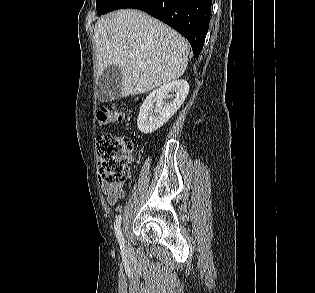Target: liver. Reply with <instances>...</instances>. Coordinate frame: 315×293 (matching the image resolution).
<instances>
[{
	"instance_id": "6515ba94",
	"label": "liver",
	"mask_w": 315,
	"mask_h": 293,
	"mask_svg": "<svg viewBox=\"0 0 315 293\" xmlns=\"http://www.w3.org/2000/svg\"><path fill=\"white\" fill-rule=\"evenodd\" d=\"M94 39L98 76L109 65L117 66L122 72V97L175 81L188 65V42L141 11L122 9L99 19Z\"/></svg>"
}]
</instances>
